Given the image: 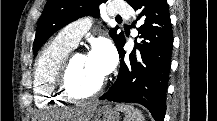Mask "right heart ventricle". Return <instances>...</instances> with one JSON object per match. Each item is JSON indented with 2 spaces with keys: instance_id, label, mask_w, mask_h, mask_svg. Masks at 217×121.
Instances as JSON below:
<instances>
[{
  "instance_id": "e07e8e85",
  "label": "right heart ventricle",
  "mask_w": 217,
  "mask_h": 121,
  "mask_svg": "<svg viewBox=\"0 0 217 121\" xmlns=\"http://www.w3.org/2000/svg\"><path fill=\"white\" fill-rule=\"evenodd\" d=\"M73 47L58 35L41 50L34 66L33 79L35 103L39 107L47 108L62 102L61 97L57 96L54 81Z\"/></svg>"
}]
</instances>
